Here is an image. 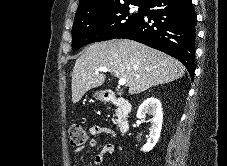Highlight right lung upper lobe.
Returning a JSON list of instances; mask_svg holds the SVG:
<instances>
[{
    "label": "right lung upper lobe",
    "instance_id": "obj_1",
    "mask_svg": "<svg viewBox=\"0 0 227 166\" xmlns=\"http://www.w3.org/2000/svg\"><path fill=\"white\" fill-rule=\"evenodd\" d=\"M149 1L150 0H80L76 13L105 9L123 4L135 3L145 5Z\"/></svg>",
    "mask_w": 227,
    "mask_h": 166
}]
</instances>
